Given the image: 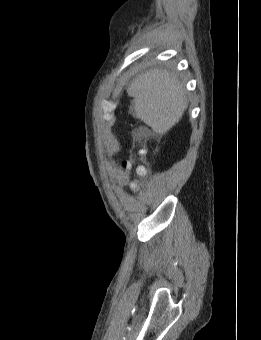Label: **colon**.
Wrapping results in <instances>:
<instances>
[{"mask_svg":"<svg viewBox=\"0 0 261 340\" xmlns=\"http://www.w3.org/2000/svg\"><path fill=\"white\" fill-rule=\"evenodd\" d=\"M147 150L144 146V139L141 134H134L133 136V150L132 153L137 154L139 157H143L146 154ZM123 170L127 171L130 168V165L127 161H124L122 164ZM136 173L139 175H143L145 173V169L143 167H139L136 170ZM130 189L136 190L138 188L137 183L132 182L129 185Z\"/></svg>","mask_w":261,"mask_h":340,"instance_id":"1","label":"colon"}]
</instances>
